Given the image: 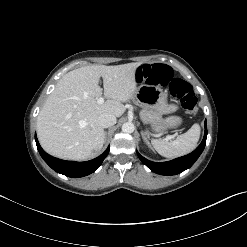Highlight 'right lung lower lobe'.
Here are the masks:
<instances>
[{"mask_svg":"<svg viewBox=\"0 0 247 247\" xmlns=\"http://www.w3.org/2000/svg\"><path fill=\"white\" fill-rule=\"evenodd\" d=\"M37 149L44 161L56 172L68 177L78 178L93 173L103 162L109 153V147L97 158L86 162L61 160L47 154L40 146L35 136Z\"/></svg>","mask_w":247,"mask_h":247,"instance_id":"obj_1","label":"right lung lower lobe"}]
</instances>
